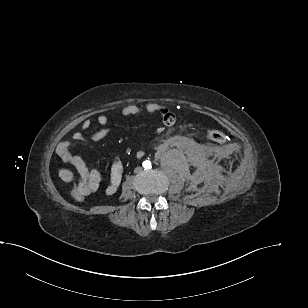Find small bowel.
<instances>
[{"label": "small bowel", "instance_id": "small-bowel-1", "mask_svg": "<svg viewBox=\"0 0 308 308\" xmlns=\"http://www.w3.org/2000/svg\"><path fill=\"white\" fill-rule=\"evenodd\" d=\"M141 113H159L166 125H172L175 120L173 113L167 107L158 103H148L143 106L131 104L118 110V114L122 116H133ZM97 122L102 127L91 135L92 141H100L110 134V129L105 127L108 122V118L105 115H100L97 118ZM90 126V120H85L82 123L83 130H88ZM73 141L83 142L86 141V138L82 132H76L73 135ZM71 145L72 141H62L57 146V152L64 162L71 164L76 169L78 186L89 194L93 193L99 188L102 182V175L97 170L89 169L86 162L80 156L72 155L70 152ZM122 174L123 165L116 158L112 163L109 183L106 186V193L108 195H112L117 191L122 180Z\"/></svg>", "mask_w": 308, "mask_h": 308}]
</instances>
